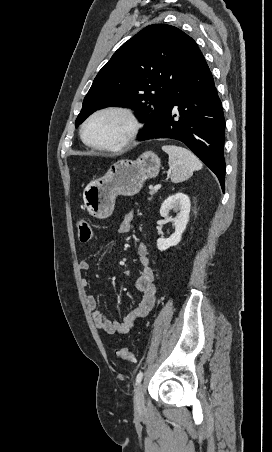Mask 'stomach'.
Segmentation results:
<instances>
[{"label":"stomach","instance_id":"0dacf381","mask_svg":"<svg viewBox=\"0 0 272 452\" xmlns=\"http://www.w3.org/2000/svg\"><path fill=\"white\" fill-rule=\"evenodd\" d=\"M160 159L152 151L142 153L136 160L115 162L101 178L89 182L83 191V203L88 213L105 219L114 210L118 195L137 194L147 179L158 175Z\"/></svg>","mask_w":272,"mask_h":452}]
</instances>
